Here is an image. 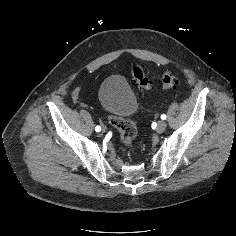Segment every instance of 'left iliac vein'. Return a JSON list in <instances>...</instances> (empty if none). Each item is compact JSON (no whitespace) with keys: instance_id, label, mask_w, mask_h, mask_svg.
Listing matches in <instances>:
<instances>
[{"instance_id":"left-iliac-vein-1","label":"left iliac vein","mask_w":236,"mask_h":236,"mask_svg":"<svg viewBox=\"0 0 236 236\" xmlns=\"http://www.w3.org/2000/svg\"><path fill=\"white\" fill-rule=\"evenodd\" d=\"M167 123L165 121H159L157 125V132L158 133H163L166 130Z\"/></svg>"}]
</instances>
